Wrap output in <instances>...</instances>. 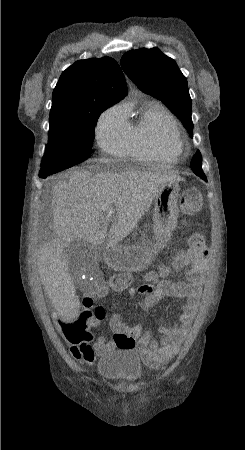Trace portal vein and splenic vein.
<instances>
[{
	"mask_svg": "<svg viewBox=\"0 0 245 450\" xmlns=\"http://www.w3.org/2000/svg\"><path fill=\"white\" fill-rule=\"evenodd\" d=\"M113 213H114L113 209H110L106 215V220L110 219L112 217Z\"/></svg>",
	"mask_w": 245,
	"mask_h": 450,
	"instance_id": "18ae733b",
	"label": "portal vein and splenic vein"
}]
</instances>
